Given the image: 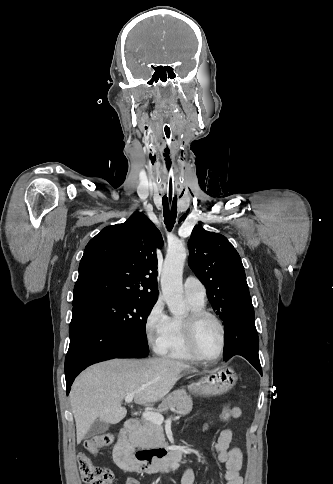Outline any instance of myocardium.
<instances>
[{
    "label": "myocardium",
    "mask_w": 333,
    "mask_h": 484,
    "mask_svg": "<svg viewBox=\"0 0 333 484\" xmlns=\"http://www.w3.org/2000/svg\"><path fill=\"white\" fill-rule=\"evenodd\" d=\"M205 319L213 320L217 324L220 330V336H221L220 348L218 350V353L212 358L204 357L199 352L196 344L197 328L199 324ZM183 329H184V337L186 340L187 347L191 352V354L197 360L205 363H213L222 357L226 346V330L223 322L216 314L205 309L190 311L183 319Z\"/></svg>",
    "instance_id": "1"
}]
</instances>
